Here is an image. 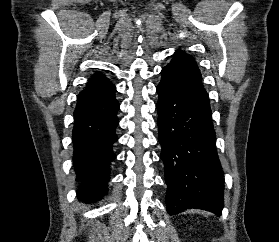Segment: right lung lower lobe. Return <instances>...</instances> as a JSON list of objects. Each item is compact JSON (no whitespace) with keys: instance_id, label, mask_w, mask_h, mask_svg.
Instances as JSON below:
<instances>
[{"instance_id":"right-lung-lower-lobe-1","label":"right lung lower lobe","mask_w":279,"mask_h":242,"mask_svg":"<svg viewBox=\"0 0 279 242\" xmlns=\"http://www.w3.org/2000/svg\"><path fill=\"white\" fill-rule=\"evenodd\" d=\"M116 87L112 84L94 94L77 98L74 111L73 165L77 195L87 203L100 200L108 191L113 145L118 140Z\"/></svg>"}]
</instances>
